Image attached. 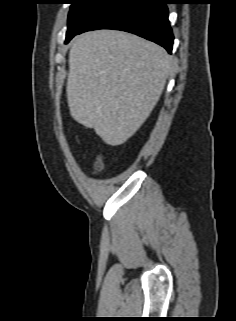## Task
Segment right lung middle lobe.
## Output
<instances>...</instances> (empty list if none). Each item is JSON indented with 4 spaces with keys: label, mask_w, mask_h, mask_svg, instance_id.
I'll return each instance as SVG.
<instances>
[{
    "label": "right lung middle lobe",
    "mask_w": 236,
    "mask_h": 321,
    "mask_svg": "<svg viewBox=\"0 0 236 321\" xmlns=\"http://www.w3.org/2000/svg\"><path fill=\"white\" fill-rule=\"evenodd\" d=\"M72 4L68 15L67 43L86 21L108 0H70Z\"/></svg>",
    "instance_id": "dd1d6c3e"
}]
</instances>
